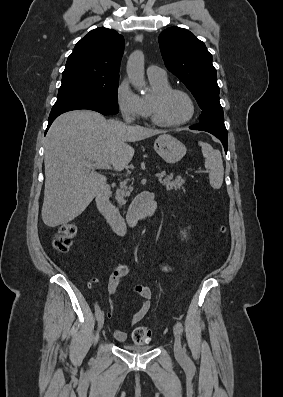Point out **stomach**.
<instances>
[{
  "instance_id": "0dacf381",
  "label": "stomach",
  "mask_w": 283,
  "mask_h": 397,
  "mask_svg": "<svg viewBox=\"0 0 283 397\" xmlns=\"http://www.w3.org/2000/svg\"><path fill=\"white\" fill-rule=\"evenodd\" d=\"M154 149L169 164L177 163L186 154L185 145L169 134L159 136L154 142Z\"/></svg>"
}]
</instances>
